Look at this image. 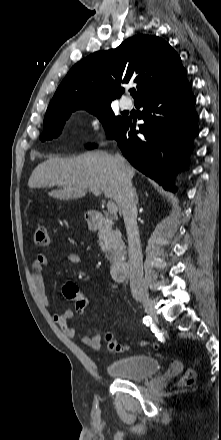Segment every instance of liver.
I'll return each mask as SVG.
<instances>
[{
  "label": "liver",
  "mask_w": 221,
  "mask_h": 440,
  "mask_svg": "<svg viewBox=\"0 0 221 440\" xmlns=\"http://www.w3.org/2000/svg\"><path fill=\"white\" fill-rule=\"evenodd\" d=\"M126 164L132 179L135 169ZM28 186H59L61 188L51 191L49 196L60 200L82 198L88 190L96 189L113 199L122 211V172L114 156L104 151L87 152L72 159L50 158L34 169Z\"/></svg>",
  "instance_id": "obj_1"
}]
</instances>
